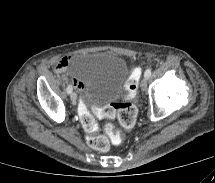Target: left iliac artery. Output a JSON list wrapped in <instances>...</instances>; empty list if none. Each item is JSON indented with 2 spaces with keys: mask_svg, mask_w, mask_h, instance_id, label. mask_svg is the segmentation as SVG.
Segmentation results:
<instances>
[{
  "mask_svg": "<svg viewBox=\"0 0 215 183\" xmlns=\"http://www.w3.org/2000/svg\"><path fill=\"white\" fill-rule=\"evenodd\" d=\"M145 77L149 78L151 76V69L148 68L146 71H145V74H144Z\"/></svg>",
  "mask_w": 215,
  "mask_h": 183,
  "instance_id": "obj_1",
  "label": "left iliac artery"
}]
</instances>
